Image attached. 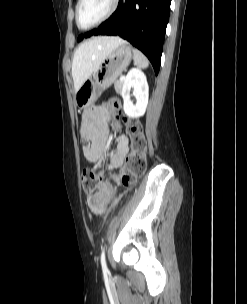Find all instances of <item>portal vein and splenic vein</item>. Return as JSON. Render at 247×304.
<instances>
[{"label": "portal vein and splenic vein", "instance_id": "portal-vein-and-splenic-vein-1", "mask_svg": "<svg viewBox=\"0 0 247 304\" xmlns=\"http://www.w3.org/2000/svg\"><path fill=\"white\" fill-rule=\"evenodd\" d=\"M124 78H125L124 76H121V77H120V81H123V80H124Z\"/></svg>", "mask_w": 247, "mask_h": 304}]
</instances>
